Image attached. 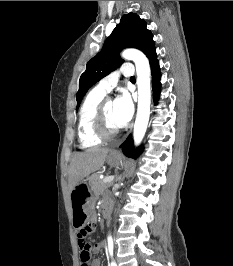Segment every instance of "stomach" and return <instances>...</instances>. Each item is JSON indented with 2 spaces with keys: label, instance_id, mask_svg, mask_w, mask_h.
<instances>
[{
  "label": "stomach",
  "instance_id": "obj_1",
  "mask_svg": "<svg viewBox=\"0 0 233 266\" xmlns=\"http://www.w3.org/2000/svg\"><path fill=\"white\" fill-rule=\"evenodd\" d=\"M110 166H117L122 162V155L118 152H110L106 158ZM90 180L80 182L73 191H71V199L73 209H71L72 221L77 232H84V228L89 225V199H93L92 188L90 187ZM85 187V188H81Z\"/></svg>",
  "mask_w": 233,
  "mask_h": 266
}]
</instances>
